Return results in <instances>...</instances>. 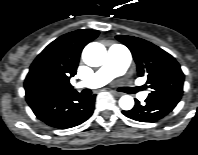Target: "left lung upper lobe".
Returning <instances> with one entry per match:
<instances>
[{"instance_id": "obj_1", "label": "left lung upper lobe", "mask_w": 198, "mask_h": 155, "mask_svg": "<svg viewBox=\"0 0 198 155\" xmlns=\"http://www.w3.org/2000/svg\"><path fill=\"white\" fill-rule=\"evenodd\" d=\"M134 57L139 76L147 77L149 99L179 102L183 93L184 74L178 62L158 46L141 38L118 35Z\"/></svg>"}]
</instances>
